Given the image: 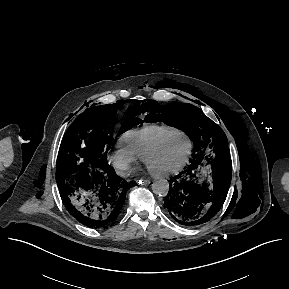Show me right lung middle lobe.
Here are the masks:
<instances>
[{
	"mask_svg": "<svg viewBox=\"0 0 289 289\" xmlns=\"http://www.w3.org/2000/svg\"><path fill=\"white\" fill-rule=\"evenodd\" d=\"M132 106L127 109L125 120L117 134L124 133L141 123L139 100H126L111 105H100L83 112L68 128L60 145L56 181L58 187L65 185L77 173L80 167L101 162L106 158L104 146L112 139L110 125L117 110L125 103Z\"/></svg>",
	"mask_w": 289,
	"mask_h": 289,
	"instance_id": "1",
	"label": "right lung middle lobe"
}]
</instances>
